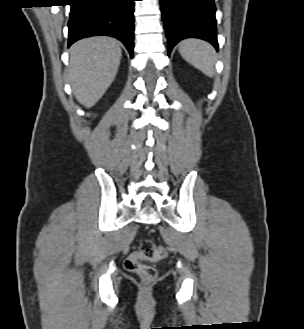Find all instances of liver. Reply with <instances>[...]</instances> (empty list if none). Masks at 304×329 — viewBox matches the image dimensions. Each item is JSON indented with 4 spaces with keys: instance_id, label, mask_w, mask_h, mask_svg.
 Here are the masks:
<instances>
[{
    "instance_id": "liver-1",
    "label": "liver",
    "mask_w": 304,
    "mask_h": 329,
    "mask_svg": "<svg viewBox=\"0 0 304 329\" xmlns=\"http://www.w3.org/2000/svg\"><path fill=\"white\" fill-rule=\"evenodd\" d=\"M68 79L79 103L91 108L113 82L122 51L116 39L91 37L70 48Z\"/></svg>"
}]
</instances>
